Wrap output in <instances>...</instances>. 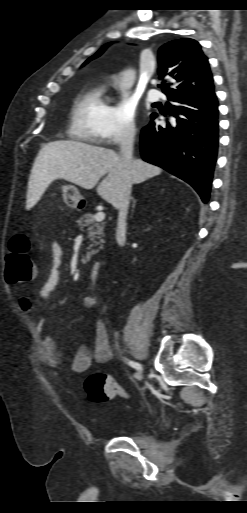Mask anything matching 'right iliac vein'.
<instances>
[{"instance_id":"obj_1","label":"right iliac vein","mask_w":247,"mask_h":513,"mask_svg":"<svg viewBox=\"0 0 247 513\" xmlns=\"http://www.w3.org/2000/svg\"><path fill=\"white\" fill-rule=\"evenodd\" d=\"M137 377H138V379H140V378H141V375H140V374H138V376H137Z\"/></svg>"}]
</instances>
